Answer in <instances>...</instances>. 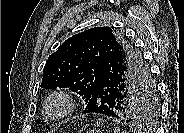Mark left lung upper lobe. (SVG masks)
<instances>
[{"label":"left lung upper lobe","mask_w":184,"mask_h":133,"mask_svg":"<svg viewBox=\"0 0 184 133\" xmlns=\"http://www.w3.org/2000/svg\"><path fill=\"white\" fill-rule=\"evenodd\" d=\"M105 57L123 67L121 71L129 96L121 119L129 120L137 127L152 122L158 104L149 67L125 36L110 27H94L65 40L48 57L40 86L45 89L70 88L87 103L100 81L101 63ZM141 83L150 85L151 95L143 92Z\"/></svg>","instance_id":"1"}]
</instances>
